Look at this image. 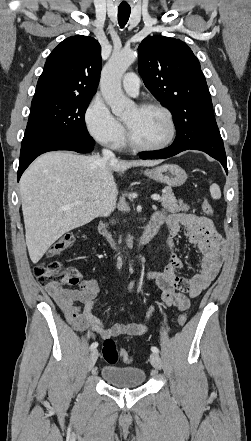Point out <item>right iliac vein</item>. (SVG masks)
<instances>
[{
    "instance_id": "1",
    "label": "right iliac vein",
    "mask_w": 251,
    "mask_h": 441,
    "mask_svg": "<svg viewBox=\"0 0 251 441\" xmlns=\"http://www.w3.org/2000/svg\"><path fill=\"white\" fill-rule=\"evenodd\" d=\"M98 358V350H93L88 358V369L89 371L94 367Z\"/></svg>"
}]
</instances>
